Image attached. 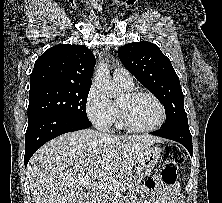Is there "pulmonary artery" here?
<instances>
[{
	"mask_svg": "<svg viewBox=\"0 0 222 203\" xmlns=\"http://www.w3.org/2000/svg\"><path fill=\"white\" fill-rule=\"evenodd\" d=\"M115 82L123 88L130 89L133 86V81L130 73L124 68H117L113 72Z\"/></svg>",
	"mask_w": 222,
	"mask_h": 203,
	"instance_id": "obj_1",
	"label": "pulmonary artery"
}]
</instances>
